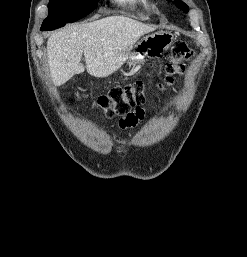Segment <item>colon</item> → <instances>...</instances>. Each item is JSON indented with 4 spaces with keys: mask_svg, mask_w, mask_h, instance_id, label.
<instances>
[{
    "mask_svg": "<svg viewBox=\"0 0 247 257\" xmlns=\"http://www.w3.org/2000/svg\"><path fill=\"white\" fill-rule=\"evenodd\" d=\"M192 56L193 51L187 44H176L165 67V78L159 87L174 85L176 77L185 70L184 62L190 60ZM145 103L146 85L137 81L111 89L108 93L99 96L94 101V106L108 118L119 116L123 120L135 110L142 109Z\"/></svg>",
    "mask_w": 247,
    "mask_h": 257,
    "instance_id": "colon-1",
    "label": "colon"
}]
</instances>
